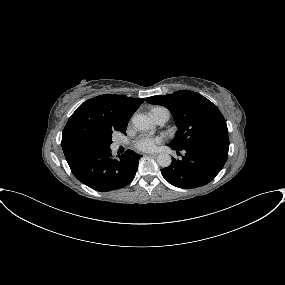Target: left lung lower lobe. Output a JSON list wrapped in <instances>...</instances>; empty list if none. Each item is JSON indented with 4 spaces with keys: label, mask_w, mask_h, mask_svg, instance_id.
<instances>
[{
    "label": "left lung lower lobe",
    "mask_w": 285,
    "mask_h": 285,
    "mask_svg": "<svg viewBox=\"0 0 285 285\" xmlns=\"http://www.w3.org/2000/svg\"><path fill=\"white\" fill-rule=\"evenodd\" d=\"M181 160H172L170 166L161 169L166 181L185 189L197 188L211 182L223 168L228 149L214 145H198L185 149ZM180 154V153H179Z\"/></svg>",
    "instance_id": "left-lung-lower-lobe-1"
}]
</instances>
